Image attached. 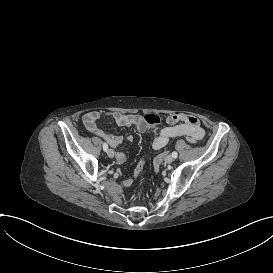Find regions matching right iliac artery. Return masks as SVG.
<instances>
[{"mask_svg": "<svg viewBox=\"0 0 273 273\" xmlns=\"http://www.w3.org/2000/svg\"><path fill=\"white\" fill-rule=\"evenodd\" d=\"M103 150L107 151L108 150V145L106 143H103Z\"/></svg>", "mask_w": 273, "mask_h": 273, "instance_id": "right-iliac-artery-1", "label": "right iliac artery"}]
</instances>
